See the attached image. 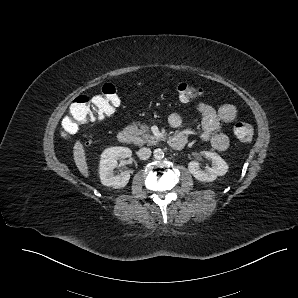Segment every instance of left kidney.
Segmentation results:
<instances>
[{"instance_id": "5707ae66", "label": "left kidney", "mask_w": 298, "mask_h": 298, "mask_svg": "<svg viewBox=\"0 0 298 298\" xmlns=\"http://www.w3.org/2000/svg\"><path fill=\"white\" fill-rule=\"evenodd\" d=\"M201 155L212 160V166H206L205 170L200 168L198 161H191L188 165L190 173L200 181H213L227 171V164L217 153L201 150Z\"/></svg>"}]
</instances>
